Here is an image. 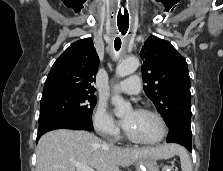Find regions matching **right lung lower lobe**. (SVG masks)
Wrapping results in <instances>:
<instances>
[{"label":"right lung lower lobe","mask_w":223,"mask_h":171,"mask_svg":"<svg viewBox=\"0 0 223 171\" xmlns=\"http://www.w3.org/2000/svg\"><path fill=\"white\" fill-rule=\"evenodd\" d=\"M55 129L94 130L90 122L72 115H59L39 122L37 141L44 133Z\"/></svg>","instance_id":"1"}]
</instances>
